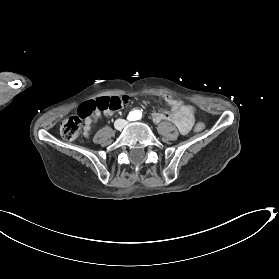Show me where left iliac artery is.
<instances>
[{"instance_id": "44dca946", "label": "left iliac artery", "mask_w": 279, "mask_h": 279, "mask_svg": "<svg viewBox=\"0 0 279 279\" xmlns=\"http://www.w3.org/2000/svg\"><path fill=\"white\" fill-rule=\"evenodd\" d=\"M141 117H142L141 111H137V112H136L135 118H136V119H140Z\"/></svg>"}]
</instances>
